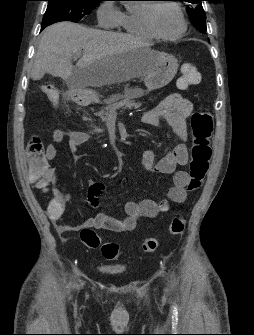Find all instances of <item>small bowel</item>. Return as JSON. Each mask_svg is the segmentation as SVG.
I'll return each instance as SVG.
<instances>
[{
    "instance_id": "small-bowel-1",
    "label": "small bowel",
    "mask_w": 254,
    "mask_h": 335,
    "mask_svg": "<svg viewBox=\"0 0 254 335\" xmlns=\"http://www.w3.org/2000/svg\"><path fill=\"white\" fill-rule=\"evenodd\" d=\"M192 110L193 106L189 99L179 93H173L148 110L142 117L143 123L153 127H159L162 122H165L180 140L178 145L157 162L153 150H145L142 154L141 164L144 169L173 175V184L167 190L166 198L159 201L151 199H144L140 202L129 201L124 206L125 217L122 219L101 212L81 224L70 226L61 221L65 216L70 195L54 189L53 198L48 206V216L64 240L66 233L79 232L83 228L103 229L117 233L131 232L136 228L139 218H155L160 213L169 210L170 202L183 203L186 201L188 175L184 171H178L177 167L184 166L188 161L185 142L187 140V119ZM66 136L69 151L73 155H76L79 147L89 139V135L83 131H73L66 135L61 129H55L52 133L53 143L48 144L45 150L46 162L56 158L57 148L55 144L62 143ZM37 179L29 178V181L39 189L44 188L45 185L37 184ZM103 190L104 186L102 184L94 183L91 185L88 193V203L91 207L99 206V198ZM53 205H56V207H53Z\"/></svg>"
}]
</instances>
